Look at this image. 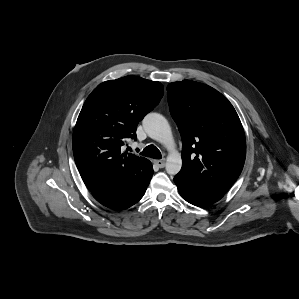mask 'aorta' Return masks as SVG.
Masks as SVG:
<instances>
[{
    "instance_id": "obj_1",
    "label": "aorta",
    "mask_w": 299,
    "mask_h": 299,
    "mask_svg": "<svg viewBox=\"0 0 299 299\" xmlns=\"http://www.w3.org/2000/svg\"><path fill=\"white\" fill-rule=\"evenodd\" d=\"M143 127L148 136L165 146L169 151L166 160V171L170 175L177 174L182 166L180 153L175 149L170 125L166 118L158 113H149L143 119Z\"/></svg>"
}]
</instances>
